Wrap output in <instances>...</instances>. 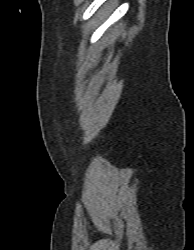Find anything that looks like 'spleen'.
I'll list each match as a JSON object with an SVG mask.
<instances>
[{
  "label": "spleen",
  "mask_w": 194,
  "mask_h": 250,
  "mask_svg": "<svg viewBox=\"0 0 194 250\" xmlns=\"http://www.w3.org/2000/svg\"><path fill=\"white\" fill-rule=\"evenodd\" d=\"M111 9H112L111 5L105 6L103 9H101L98 12L97 16L98 17H104V16H106V15H108L110 13Z\"/></svg>",
  "instance_id": "1"
}]
</instances>
